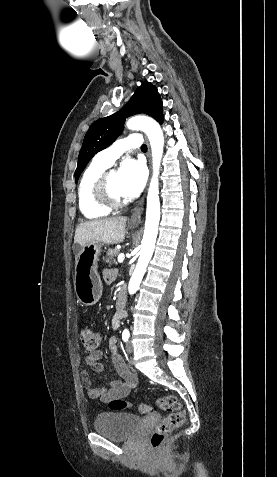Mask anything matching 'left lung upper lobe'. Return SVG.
Returning a JSON list of instances; mask_svg holds the SVG:
<instances>
[{
  "label": "left lung upper lobe",
  "mask_w": 277,
  "mask_h": 477,
  "mask_svg": "<svg viewBox=\"0 0 277 477\" xmlns=\"http://www.w3.org/2000/svg\"><path fill=\"white\" fill-rule=\"evenodd\" d=\"M162 106L157 88L149 82H144L137 88L132 98L121 110L95 121L84 137L78 156L75 182H77L90 159L97 152L111 145L120 135L127 117L143 113L162 123Z\"/></svg>",
  "instance_id": "obj_1"
}]
</instances>
